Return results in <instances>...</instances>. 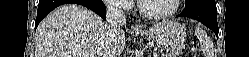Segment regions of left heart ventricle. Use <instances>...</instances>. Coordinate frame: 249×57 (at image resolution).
Returning a JSON list of instances; mask_svg holds the SVG:
<instances>
[{
	"instance_id": "left-heart-ventricle-1",
	"label": "left heart ventricle",
	"mask_w": 249,
	"mask_h": 57,
	"mask_svg": "<svg viewBox=\"0 0 249 57\" xmlns=\"http://www.w3.org/2000/svg\"><path fill=\"white\" fill-rule=\"evenodd\" d=\"M173 6V0H143V7L149 13H163Z\"/></svg>"
}]
</instances>
